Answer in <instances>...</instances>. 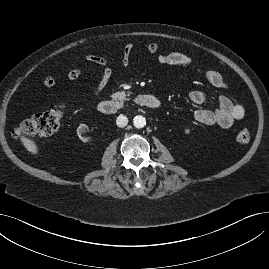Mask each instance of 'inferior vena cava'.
<instances>
[{
  "mask_svg": "<svg viewBox=\"0 0 269 269\" xmlns=\"http://www.w3.org/2000/svg\"><path fill=\"white\" fill-rule=\"evenodd\" d=\"M116 124L118 127H125L128 124V118L124 115H120L116 119Z\"/></svg>",
  "mask_w": 269,
  "mask_h": 269,
  "instance_id": "obj_1",
  "label": "inferior vena cava"
}]
</instances>
